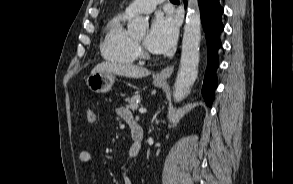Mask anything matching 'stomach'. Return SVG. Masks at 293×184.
<instances>
[{
  "instance_id": "1",
  "label": "stomach",
  "mask_w": 293,
  "mask_h": 184,
  "mask_svg": "<svg viewBox=\"0 0 293 184\" xmlns=\"http://www.w3.org/2000/svg\"><path fill=\"white\" fill-rule=\"evenodd\" d=\"M115 82V77L109 72H92L86 79L88 88L94 93H105L109 91ZM153 84L161 87L163 81L154 79Z\"/></svg>"
}]
</instances>
